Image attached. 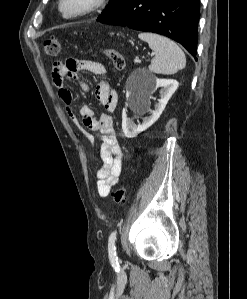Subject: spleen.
<instances>
[{"label":"spleen","mask_w":247,"mask_h":299,"mask_svg":"<svg viewBox=\"0 0 247 299\" xmlns=\"http://www.w3.org/2000/svg\"><path fill=\"white\" fill-rule=\"evenodd\" d=\"M138 37L147 42L155 52L149 70L156 74H174L186 65V57L172 40L153 33H140Z\"/></svg>","instance_id":"spleen-1"}]
</instances>
